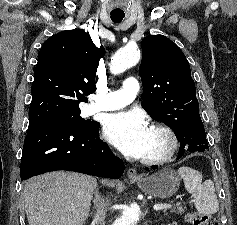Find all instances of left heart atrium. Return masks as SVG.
I'll return each mask as SVG.
<instances>
[{"mask_svg": "<svg viewBox=\"0 0 237 225\" xmlns=\"http://www.w3.org/2000/svg\"><path fill=\"white\" fill-rule=\"evenodd\" d=\"M149 128L137 112L122 111L110 115L104 125V136L126 156L145 155Z\"/></svg>", "mask_w": 237, "mask_h": 225, "instance_id": "1", "label": "left heart atrium"}]
</instances>
